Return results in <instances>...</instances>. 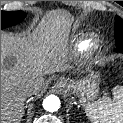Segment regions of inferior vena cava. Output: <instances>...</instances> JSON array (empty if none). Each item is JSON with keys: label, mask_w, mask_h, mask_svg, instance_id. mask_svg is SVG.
<instances>
[{"label": "inferior vena cava", "mask_w": 123, "mask_h": 123, "mask_svg": "<svg viewBox=\"0 0 123 123\" xmlns=\"http://www.w3.org/2000/svg\"><path fill=\"white\" fill-rule=\"evenodd\" d=\"M38 90V84L33 81H29L23 85V91L27 96L36 94Z\"/></svg>", "instance_id": "inferior-vena-cava-1"}]
</instances>
